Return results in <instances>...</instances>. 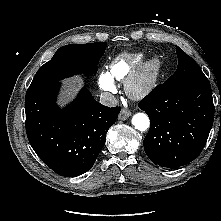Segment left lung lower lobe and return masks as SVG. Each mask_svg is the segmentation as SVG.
Here are the masks:
<instances>
[{"label":"left lung lower lobe","mask_w":221,"mask_h":221,"mask_svg":"<svg viewBox=\"0 0 221 221\" xmlns=\"http://www.w3.org/2000/svg\"><path fill=\"white\" fill-rule=\"evenodd\" d=\"M138 106L150 119L143 144L154 164L176 169L201 153L214 120L210 84L164 82Z\"/></svg>","instance_id":"0a47b994"}]
</instances>
